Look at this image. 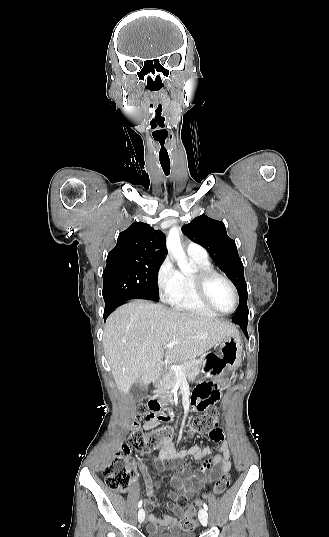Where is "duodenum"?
Segmentation results:
<instances>
[{
	"label": "duodenum",
	"mask_w": 329,
	"mask_h": 537,
	"mask_svg": "<svg viewBox=\"0 0 329 537\" xmlns=\"http://www.w3.org/2000/svg\"><path fill=\"white\" fill-rule=\"evenodd\" d=\"M172 404L161 399V398H154L149 403L150 411L155 415H159L167 412V409L172 408ZM161 409H164V412H161Z\"/></svg>",
	"instance_id": "1"
}]
</instances>
